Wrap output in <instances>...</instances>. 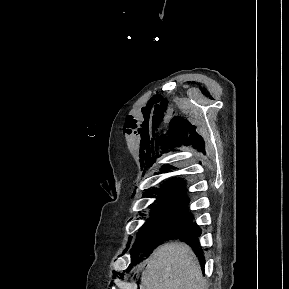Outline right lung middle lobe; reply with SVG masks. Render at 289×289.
<instances>
[{
	"label": "right lung middle lobe",
	"mask_w": 289,
	"mask_h": 289,
	"mask_svg": "<svg viewBox=\"0 0 289 289\" xmlns=\"http://www.w3.org/2000/svg\"><path fill=\"white\" fill-rule=\"evenodd\" d=\"M187 205L185 196L163 197V202L151 210V218L139 230L136 242L154 236L178 234L185 223L192 219Z\"/></svg>",
	"instance_id": "dd1d6c3e"
}]
</instances>
